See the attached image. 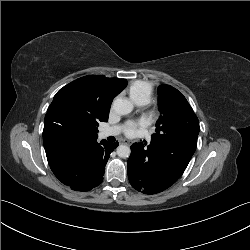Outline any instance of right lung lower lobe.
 <instances>
[{"instance_id":"right-lung-lower-lobe-1","label":"right lung lower lobe","mask_w":250,"mask_h":250,"mask_svg":"<svg viewBox=\"0 0 250 250\" xmlns=\"http://www.w3.org/2000/svg\"><path fill=\"white\" fill-rule=\"evenodd\" d=\"M119 145L97 140L73 151L55 176L76 191H89L101 184L110 153Z\"/></svg>"}]
</instances>
